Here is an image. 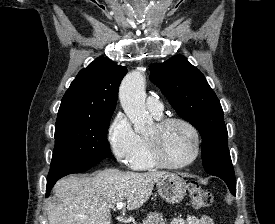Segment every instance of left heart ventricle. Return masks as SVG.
<instances>
[{"label":"left heart ventricle","instance_id":"b2bd125f","mask_svg":"<svg viewBox=\"0 0 275 224\" xmlns=\"http://www.w3.org/2000/svg\"><path fill=\"white\" fill-rule=\"evenodd\" d=\"M156 133L155 125L147 135ZM159 141L166 159L174 164L188 161L194 153V138L191 131L181 123H171L159 134Z\"/></svg>","mask_w":275,"mask_h":224}]
</instances>
